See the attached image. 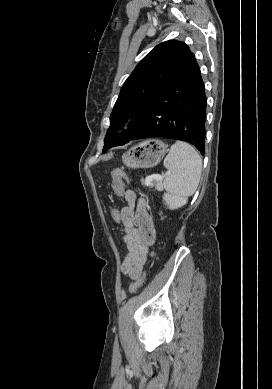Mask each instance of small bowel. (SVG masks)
Here are the masks:
<instances>
[{
  "instance_id": "obj_1",
  "label": "small bowel",
  "mask_w": 272,
  "mask_h": 389,
  "mask_svg": "<svg viewBox=\"0 0 272 389\" xmlns=\"http://www.w3.org/2000/svg\"><path fill=\"white\" fill-rule=\"evenodd\" d=\"M124 198L126 205L121 209V224L128 253L122 263V272L129 278L136 279L142 273L156 232L145 200L138 198L131 190L124 193Z\"/></svg>"
}]
</instances>
